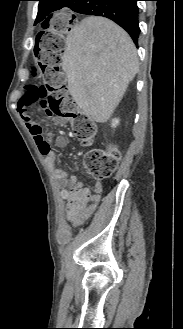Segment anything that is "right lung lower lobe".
Instances as JSON below:
<instances>
[{
	"label": "right lung lower lobe",
	"mask_w": 183,
	"mask_h": 329,
	"mask_svg": "<svg viewBox=\"0 0 183 329\" xmlns=\"http://www.w3.org/2000/svg\"><path fill=\"white\" fill-rule=\"evenodd\" d=\"M138 0H70L73 11L109 18L120 25L137 45L140 34Z\"/></svg>",
	"instance_id": "obj_1"
}]
</instances>
